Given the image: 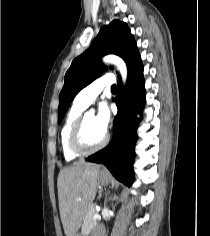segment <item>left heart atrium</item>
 Instances as JSON below:
<instances>
[{
  "label": "left heart atrium",
  "instance_id": "1",
  "mask_svg": "<svg viewBox=\"0 0 210 236\" xmlns=\"http://www.w3.org/2000/svg\"><path fill=\"white\" fill-rule=\"evenodd\" d=\"M111 115L107 104L103 103L99 106L97 114L94 116L96 126L103 132L107 131L110 124Z\"/></svg>",
  "mask_w": 210,
  "mask_h": 236
}]
</instances>
